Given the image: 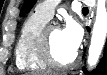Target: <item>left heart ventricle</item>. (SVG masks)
<instances>
[{"mask_svg": "<svg viewBox=\"0 0 107 75\" xmlns=\"http://www.w3.org/2000/svg\"><path fill=\"white\" fill-rule=\"evenodd\" d=\"M50 42L54 56L59 62H69L75 55V52L66 45L61 30L56 27L50 31Z\"/></svg>", "mask_w": 107, "mask_h": 75, "instance_id": "left-heart-ventricle-1", "label": "left heart ventricle"}]
</instances>
